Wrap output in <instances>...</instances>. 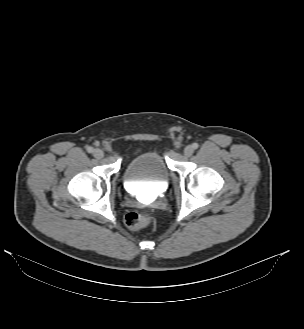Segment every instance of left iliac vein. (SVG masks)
I'll return each instance as SVG.
<instances>
[{"instance_id":"left-iliac-vein-1","label":"left iliac vein","mask_w":304,"mask_h":329,"mask_svg":"<svg viewBox=\"0 0 304 329\" xmlns=\"http://www.w3.org/2000/svg\"><path fill=\"white\" fill-rule=\"evenodd\" d=\"M193 152H194V149L191 145L186 146L184 149V154L187 157H190L193 154Z\"/></svg>"}]
</instances>
